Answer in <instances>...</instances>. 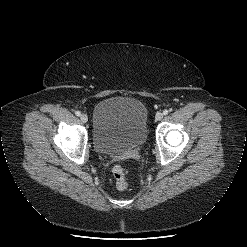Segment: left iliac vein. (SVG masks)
Instances as JSON below:
<instances>
[{
    "instance_id": "4c4485c4",
    "label": "left iliac vein",
    "mask_w": 247,
    "mask_h": 247,
    "mask_svg": "<svg viewBox=\"0 0 247 247\" xmlns=\"http://www.w3.org/2000/svg\"><path fill=\"white\" fill-rule=\"evenodd\" d=\"M162 118H163V113H161V112H158V113L156 114V116H155V119H156L157 121L161 120Z\"/></svg>"
}]
</instances>
